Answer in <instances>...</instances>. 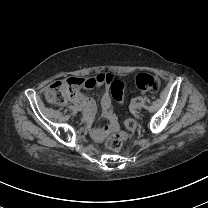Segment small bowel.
I'll list each match as a JSON object with an SVG mask.
<instances>
[{"label": "small bowel", "mask_w": 208, "mask_h": 208, "mask_svg": "<svg viewBox=\"0 0 208 208\" xmlns=\"http://www.w3.org/2000/svg\"><path fill=\"white\" fill-rule=\"evenodd\" d=\"M102 85H106V84H101L97 86L101 87ZM104 88L105 90L102 94L101 105H102L103 115L109 121V124L98 129V131L101 133H95L94 130L92 129L87 130L86 132L87 137L91 138L92 141L94 142H100V141L106 140L107 135L113 132V130L116 127V119L111 110L110 95H109L108 87L104 86ZM73 101L76 104L82 105L85 108L84 109V116L86 117L84 120L85 125L87 126L92 125L93 119H94L93 102L88 97L80 93H77L74 96Z\"/></svg>", "instance_id": "c3829d8e"}]
</instances>
